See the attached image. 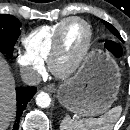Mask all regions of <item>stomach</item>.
Returning <instances> with one entry per match:
<instances>
[{"label": "stomach", "instance_id": "stomach-1", "mask_svg": "<svg viewBox=\"0 0 130 130\" xmlns=\"http://www.w3.org/2000/svg\"><path fill=\"white\" fill-rule=\"evenodd\" d=\"M120 68L108 53L93 50L74 77L62 84L59 102L78 116L104 113L117 99Z\"/></svg>", "mask_w": 130, "mask_h": 130}]
</instances>
